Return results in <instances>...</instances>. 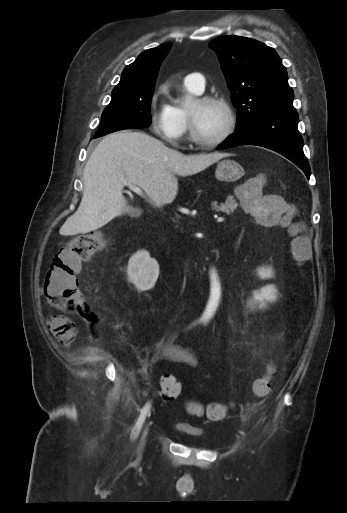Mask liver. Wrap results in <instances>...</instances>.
Here are the masks:
<instances>
[{
    "label": "liver",
    "instance_id": "6515ba94",
    "mask_svg": "<svg viewBox=\"0 0 347 513\" xmlns=\"http://www.w3.org/2000/svg\"><path fill=\"white\" fill-rule=\"evenodd\" d=\"M226 156L220 152L186 156L144 132L111 133L88 159L80 206L60 234H85L123 215L127 211L122 195L125 183L142 188L157 207L172 203L178 191L176 175L197 174Z\"/></svg>",
    "mask_w": 347,
    "mask_h": 513
}]
</instances>
